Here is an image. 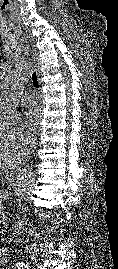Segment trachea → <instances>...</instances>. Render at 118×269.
Instances as JSON below:
<instances>
[{
    "label": "trachea",
    "mask_w": 118,
    "mask_h": 269,
    "mask_svg": "<svg viewBox=\"0 0 118 269\" xmlns=\"http://www.w3.org/2000/svg\"><path fill=\"white\" fill-rule=\"evenodd\" d=\"M32 80H33V84L36 88H39V83H38V77L36 72H33L32 74Z\"/></svg>",
    "instance_id": "obj_1"
}]
</instances>
